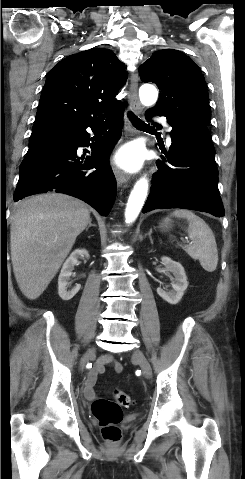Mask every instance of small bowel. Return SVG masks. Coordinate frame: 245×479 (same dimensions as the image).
<instances>
[{
	"label": "small bowel",
	"instance_id": "c3829d8e",
	"mask_svg": "<svg viewBox=\"0 0 245 479\" xmlns=\"http://www.w3.org/2000/svg\"><path fill=\"white\" fill-rule=\"evenodd\" d=\"M105 365H112L114 370L117 373L122 372V365L118 362H116L112 356L110 355H105L103 356L99 362L92 368V370L89 372L86 382H85V388H84V393L85 396L89 399L95 398V390L94 386L96 384L97 377L104 372Z\"/></svg>",
	"mask_w": 245,
	"mask_h": 479
}]
</instances>
